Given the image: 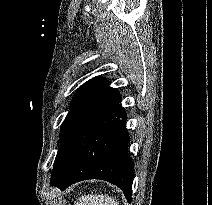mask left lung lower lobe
<instances>
[{"mask_svg": "<svg viewBox=\"0 0 212 205\" xmlns=\"http://www.w3.org/2000/svg\"><path fill=\"white\" fill-rule=\"evenodd\" d=\"M121 97L111 87L86 114L72 139L57 179L64 190L86 179H102L118 186L131 202L133 161Z\"/></svg>", "mask_w": 212, "mask_h": 205, "instance_id": "0a47b994", "label": "left lung lower lobe"}]
</instances>
